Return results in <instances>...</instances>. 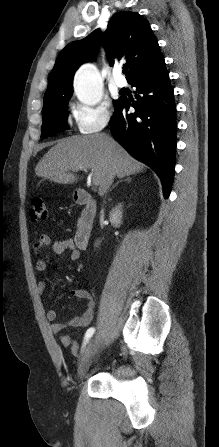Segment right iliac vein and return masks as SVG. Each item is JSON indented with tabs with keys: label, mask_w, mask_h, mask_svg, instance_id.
<instances>
[{
	"label": "right iliac vein",
	"mask_w": 219,
	"mask_h": 447,
	"mask_svg": "<svg viewBox=\"0 0 219 447\" xmlns=\"http://www.w3.org/2000/svg\"><path fill=\"white\" fill-rule=\"evenodd\" d=\"M97 336H94L88 343V346L85 350V353L82 357V360L80 362L79 368H78V377L80 379L84 378L85 374L87 373L89 366L92 362V359L95 354L96 346H97Z\"/></svg>",
	"instance_id": "obj_1"
}]
</instances>
